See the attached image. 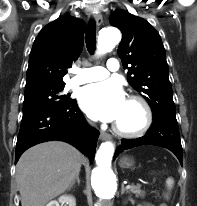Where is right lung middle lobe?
Listing matches in <instances>:
<instances>
[{
	"instance_id": "right-lung-middle-lobe-1",
	"label": "right lung middle lobe",
	"mask_w": 197,
	"mask_h": 206,
	"mask_svg": "<svg viewBox=\"0 0 197 206\" xmlns=\"http://www.w3.org/2000/svg\"><path fill=\"white\" fill-rule=\"evenodd\" d=\"M64 87L65 85H42L25 88L23 118L68 105L73 99L62 95Z\"/></svg>"
}]
</instances>
